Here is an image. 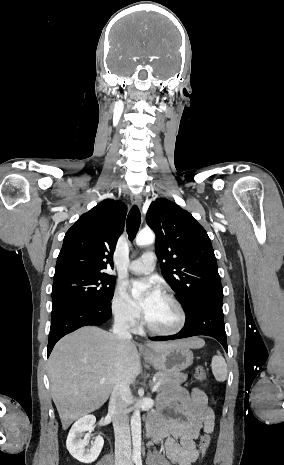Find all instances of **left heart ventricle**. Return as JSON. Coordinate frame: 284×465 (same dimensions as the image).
Here are the masks:
<instances>
[{
	"label": "left heart ventricle",
	"mask_w": 284,
	"mask_h": 465,
	"mask_svg": "<svg viewBox=\"0 0 284 465\" xmlns=\"http://www.w3.org/2000/svg\"><path fill=\"white\" fill-rule=\"evenodd\" d=\"M147 323L156 330L167 331L178 323V314L173 305L159 295L150 311L145 315Z\"/></svg>",
	"instance_id": "obj_1"
}]
</instances>
